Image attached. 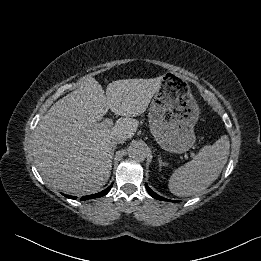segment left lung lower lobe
Returning a JSON list of instances; mask_svg holds the SVG:
<instances>
[{
    "label": "left lung lower lobe",
    "instance_id": "left-lung-lower-lobe-1",
    "mask_svg": "<svg viewBox=\"0 0 261 261\" xmlns=\"http://www.w3.org/2000/svg\"><path fill=\"white\" fill-rule=\"evenodd\" d=\"M145 186H146V189H147L148 193H149L152 197H154V198H156V199H158V200H162V201H170V200H168V199H166V198H163V197L159 196V195L156 194L155 192H153V191L148 187L147 184H145ZM172 202H176V201L172 200Z\"/></svg>",
    "mask_w": 261,
    "mask_h": 261
}]
</instances>
